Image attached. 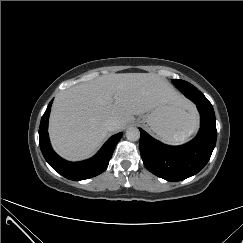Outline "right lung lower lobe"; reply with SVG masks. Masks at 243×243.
<instances>
[{"instance_id":"98d812e1","label":"right lung lower lobe","mask_w":243,"mask_h":243,"mask_svg":"<svg viewBox=\"0 0 243 243\" xmlns=\"http://www.w3.org/2000/svg\"><path fill=\"white\" fill-rule=\"evenodd\" d=\"M53 101V100H52ZM49 103L40 123L39 143L42 154L50 166L62 176L70 180H84L101 174L108 166L116 144L122 137V133L112 136L91 159L82 162H67L60 158L51 148L47 126L52 105Z\"/></svg>"}]
</instances>
